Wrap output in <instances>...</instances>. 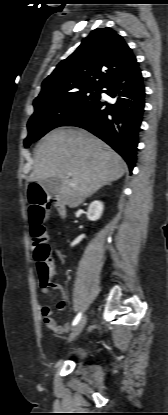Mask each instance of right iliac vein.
I'll return each mask as SVG.
<instances>
[{
	"label": "right iliac vein",
	"instance_id": "obj_1",
	"mask_svg": "<svg viewBox=\"0 0 168 415\" xmlns=\"http://www.w3.org/2000/svg\"><path fill=\"white\" fill-rule=\"evenodd\" d=\"M86 321L87 318L86 316H84L74 327V329L72 330L69 338H68V342H72L83 330L84 326L86 325Z\"/></svg>",
	"mask_w": 168,
	"mask_h": 415
}]
</instances>
